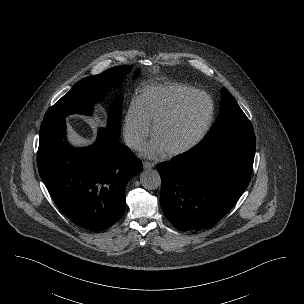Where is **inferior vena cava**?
Listing matches in <instances>:
<instances>
[{"label": "inferior vena cava", "instance_id": "602c4592", "mask_svg": "<svg viewBox=\"0 0 304 304\" xmlns=\"http://www.w3.org/2000/svg\"><path fill=\"white\" fill-rule=\"evenodd\" d=\"M124 141L130 148L136 149L140 145V138L136 135H125Z\"/></svg>", "mask_w": 304, "mask_h": 304}]
</instances>
